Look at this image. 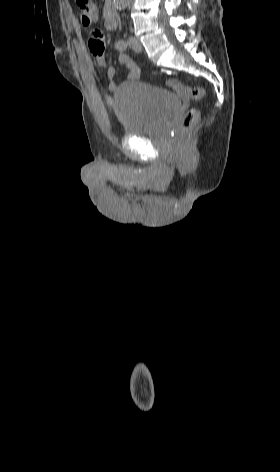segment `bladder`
<instances>
[{
  "label": "bladder",
  "instance_id": "obj_1",
  "mask_svg": "<svg viewBox=\"0 0 280 472\" xmlns=\"http://www.w3.org/2000/svg\"><path fill=\"white\" fill-rule=\"evenodd\" d=\"M114 107L126 135L139 137L163 125L177 112L180 102L162 88L127 81L116 88Z\"/></svg>",
  "mask_w": 280,
  "mask_h": 472
}]
</instances>
